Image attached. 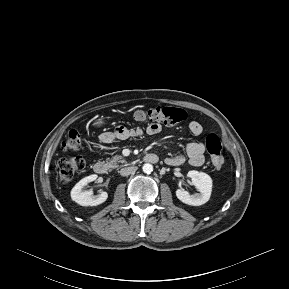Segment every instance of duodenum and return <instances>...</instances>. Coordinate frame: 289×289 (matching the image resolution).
Here are the masks:
<instances>
[{
  "label": "duodenum",
  "mask_w": 289,
  "mask_h": 289,
  "mask_svg": "<svg viewBox=\"0 0 289 289\" xmlns=\"http://www.w3.org/2000/svg\"><path fill=\"white\" fill-rule=\"evenodd\" d=\"M158 156L156 154H153V153H149V154H146L143 156L142 160L144 162H147V163H157L158 162ZM93 170L97 173V174H100V175H104V174H107L109 173L110 171V167L109 165L104 162V161H97L94 163L93 165Z\"/></svg>",
  "instance_id": "1"
}]
</instances>
